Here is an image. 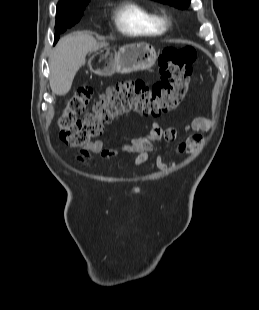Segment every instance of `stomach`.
<instances>
[{
	"instance_id": "stomach-1",
	"label": "stomach",
	"mask_w": 259,
	"mask_h": 310,
	"mask_svg": "<svg viewBox=\"0 0 259 310\" xmlns=\"http://www.w3.org/2000/svg\"><path fill=\"white\" fill-rule=\"evenodd\" d=\"M157 59L155 49L148 43L128 44L116 52L110 47L95 51L89 59L91 71L100 76H110L115 72L127 74L151 68Z\"/></svg>"
}]
</instances>
